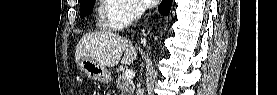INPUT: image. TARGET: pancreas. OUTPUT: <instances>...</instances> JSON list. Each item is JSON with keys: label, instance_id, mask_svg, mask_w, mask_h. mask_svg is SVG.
I'll list each match as a JSON object with an SVG mask.
<instances>
[{"label": "pancreas", "instance_id": "cf45deb5", "mask_svg": "<svg viewBox=\"0 0 277 95\" xmlns=\"http://www.w3.org/2000/svg\"><path fill=\"white\" fill-rule=\"evenodd\" d=\"M116 85L122 95H132L134 92V88L130 81L127 80L124 76H118Z\"/></svg>", "mask_w": 277, "mask_h": 95}]
</instances>
